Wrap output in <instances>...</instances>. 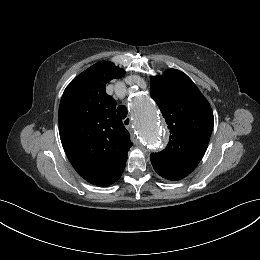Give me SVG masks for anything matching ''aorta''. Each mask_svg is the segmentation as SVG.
Here are the masks:
<instances>
[{
    "label": "aorta",
    "instance_id": "obj_1",
    "mask_svg": "<svg viewBox=\"0 0 260 260\" xmlns=\"http://www.w3.org/2000/svg\"><path fill=\"white\" fill-rule=\"evenodd\" d=\"M130 107L139 138L150 151L160 150L165 141L157 121L156 109L151 100L143 94L134 91Z\"/></svg>",
    "mask_w": 260,
    "mask_h": 260
}]
</instances>
